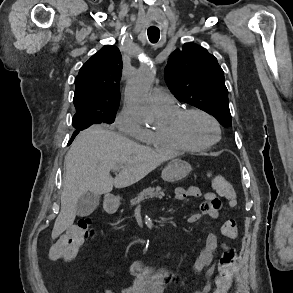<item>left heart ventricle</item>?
I'll use <instances>...</instances> for the list:
<instances>
[{"mask_svg":"<svg viewBox=\"0 0 293 293\" xmlns=\"http://www.w3.org/2000/svg\"><path fill=\"white\" fill-rule=\"evenodd\" d=\"M183 132L186 139L196 145L208 143L216 137L214 125L200 114H190L185 118Z\"/></svg>","mask_w":293,"mask_h":293,"instance_id":"b2bd125f","label":"left heart ventricle"}]
</instances>
